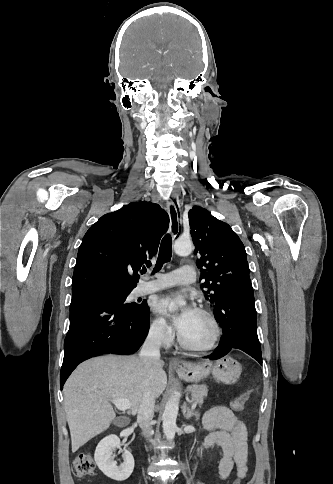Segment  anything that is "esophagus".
Masks as SVG:
<instances>
[{
  "label": "esophagus",
  "mask_w": 333,
  "mask_h": 484,
  "mask_svg": "<svg viewBox=\"0 0 333 484\" xmlns=\"http://www.w3.org/2000/svg\"><path fill=\"white\" fill-rule=\"evenodd\" d=\"M166 210L170 218V232L172 236L176 238L180 232L181 209L180 207H177L172 200H168L166 202ZM170 363L175 367H182L184 365V363L177 358H173Z\"/></svg>",
  "instance_id": "esophagus-1"
}]
</instances>
